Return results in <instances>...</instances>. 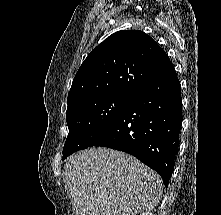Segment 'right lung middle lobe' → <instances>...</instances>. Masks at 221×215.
<instances>
[{"label":"right lung middle lobe","instance_id":"obj_1","mask_svg":"<svg viewBox=\"0 0 221 215\" xmlns=\"http://www.w3.org/2000/svg\"><path fill=\"white\" fill-rule=\"evenodd\" d=\"M130 95L109 94L90 98L67 107L69 128L63 159L70 154L89 147L120 115Z\"/></svg>","mask_w":221,"mask_h":215}]
</instances>
